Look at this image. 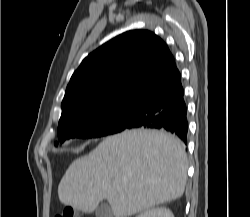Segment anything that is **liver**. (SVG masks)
Instances as JSON below:
<instances>
[{"mask_svg":"<svg viewBox=\"0 0 250 217\" xmlns=\"http://www.w3.org/2000/svg\"><path fill=\"white\" fill-rule=\"evenodd\" d=\"M187 169L185 147L175 136L126 130L72 162L58 196L62 204L84 213H92L106 199L115 217H128L180 198Z\"/></svg>","mask_w":250,"mask_h":217,"instance_id":"1","label":"liver"}]
</instances>
